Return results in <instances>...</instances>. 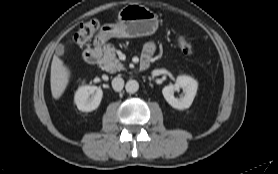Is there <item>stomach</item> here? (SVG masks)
<instances>
[{"label": "stomach", "instance_id": "1", "mask_svg": "<svg viewBox=\"0 0 278 174\" xmlns=\"http://www.w3.org/2000/svg\"><path fill=\"white\" fill-rule=\"evenodd\" d=\"M158 28V16L144 5L131 3L121 9L116 24L104 25L99 33L103 40L112 37L136 38L149 36Z\"/></svg>", "mask_w": 278, "mask_h": 174}]
</instances>
